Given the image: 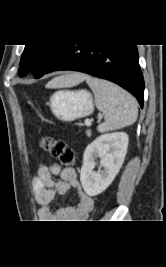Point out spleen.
I'll use <instances>...</instances> for the list:
<instances>
[{"mask_svg":"<svg viewBox=\"0 0 166 267\" xmlns=\"http://www.w3.org/2000/svg\"><path fill=\"white\" fill-rule=\"evenodd\" d=\"M86 82L95 95L98 110L104 114L99 132L121 129L137 120V102L128 92L103 79L87 77Z\"/></svg>","mask_w":166,"mask_h":267,"instance_id":"obj_1","label":"spleen"}]
</instances>
